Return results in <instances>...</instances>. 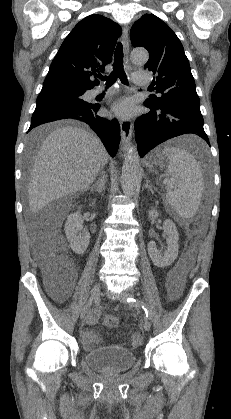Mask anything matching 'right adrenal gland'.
Instances as JSON below:
<instances>
[{
	"label": "right adrenal gland",
	"mask_w": 231,
	"mask_h": 419,
	"mask_svg": "<svg viewBox=\"0 0 231 419\" xmlns=\"http://www.w3.org/2000/svg\"><path fill=\"white\" fill-rule=\"evenodd\" d=\"M106 188V175L104 174L98 182H96L91 188L90 191L101 193Z\"/></svg>",
	"instance_id": "obj_1"
}]
</instances>
